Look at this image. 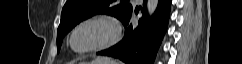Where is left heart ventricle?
Here are the masks:
<instances>
[{
  "label": "left heart ventricle",
  "mask_w": 242,
  "mask_h": 64,
  "mask_svg": "<svg viewBox=\"0 0 242 64\" xmlns=\"http://www.w3.org/2000/svg\"><path fill=\"white\" fill-rule=\"evenodd\" d=\"M108 33L109 28L104 25L94 24L86 26L75 35L73 40L74 47L77 49L89 47L102 41Z\"/></svg>",
  "instance_id": "b2bd125f"
}]
</instances>
